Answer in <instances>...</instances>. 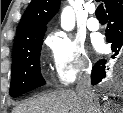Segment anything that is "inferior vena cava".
Here are the masks:
<instances>
[{
    "instance_id": "602c4592",
    "label": "inferior vena cava",
    "mask_w": 123,
    "mask_h": 113,
    "mask_svg": "<svg viewBox=\"0 0 123 113\" xmlns=\"http://www.w3.org/2000/svg\"><path fill=\"white\" fill-rule=\"evenodd\" d=\"M76 91L81 97L84 98L85 102L88 104V113H101L99 104L96 102L95 93L91 86V67L88 66L84 69L80 75Z\"/></svg>"
}]
</instances>
